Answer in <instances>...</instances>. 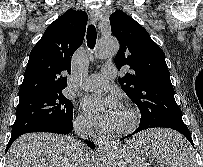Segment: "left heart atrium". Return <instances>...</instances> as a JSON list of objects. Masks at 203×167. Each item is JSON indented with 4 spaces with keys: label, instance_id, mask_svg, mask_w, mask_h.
Listing matches in <instances>:
<instances>
[{
    "label": "left heart atrium",
    "instance_id": "1",
    "mask_svg": "<svg viewBox=\"0 0 203 167\" xmlns=\"http://www.w3.org/2000/svg\"><path fill=\"white\" fill-rule=\"evenodd\" d=\"M83 106L94 123L103 129L114 128L123 114L122 106L116 95H91L84 100Z\"/></svg>",
    "mask_w": 203,
    "mask_h": 167
}]
</instances>
